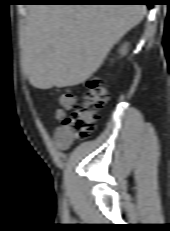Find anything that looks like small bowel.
<instances>
[{
    "label": "small bowel",
    "mask_w": 170,
    "mask_h": 231,
    "mask_svg": "<svg viewBox=\"0 0 170 231\" xmlns=\"http://www.w3.org/2000/svg\"><path fill=\"white\" fill-rule=\"evenodd\" d=\"M53 140H54V144L55 146L59 149V150H66L69 147V142L66 141V139L63 136L62 133V128L61 127H57L54 131V135H53Z\"/></svg>",
    "instance_id": "1"
}]
</instances>
